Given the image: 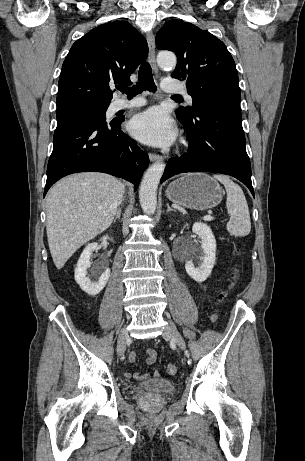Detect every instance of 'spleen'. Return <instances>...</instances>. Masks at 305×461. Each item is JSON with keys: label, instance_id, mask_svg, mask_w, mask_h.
I'll return each mask as SVG.
<instances>
[{"label": "spleen", "instance_id": "3e777b00", "mask_svg": "<svg viewBox=\"0 0 305 461\" xmlns=\"http://www.w3.org/2000/svg\"><path fill=\"white\" fill-rule=\"evenodd\" d=\"M220 181L227 193L226 208L230 220L226 225L227 231L236 237L247 236L251 231V221L248 204L241 187L227 176L213 175Z\"/></svg>", "mask_w": 305, "mask_h": 461}]
</instances>
